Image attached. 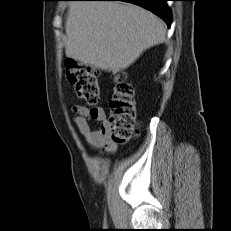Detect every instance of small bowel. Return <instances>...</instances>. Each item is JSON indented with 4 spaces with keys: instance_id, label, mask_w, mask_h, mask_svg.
<instances>
[{
    "instance_id": "small-bowel-1",
    "label": "small bowel",
    "mask_w": 231,
    "mask_h": 231,
    "mask_svg": "<svg viewBox=\"0 0 231 231\" xmlns=\"http://www.w3.org/2000/svg\"><path fill=\"white\" fill-rule=\"evenodd\" d=\"M73 110L76 114L74 123L86 142L92 148L101 149L106 153L112 152L115 149V144L111 139L110 123L104 109L78 105ZM92 122H97L98 127L93 128Z\"/></svg>"
}]
</instances>
